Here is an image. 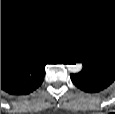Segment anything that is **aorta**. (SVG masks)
I'll use <instances>...</instances> for the list:
<instances>
[{
	"label": "aorta",
	"mask_w": 115,
	"mask_h": 114,
	"mask_svg": "<svg viewBox=\"0 0 115 114\" xmlns=\"http://www.w3.org/2000/svg\"><path fill=\"white\" fill-rule=\"evenodd\" d=\"M67 69L72 73H78L82 69L81 63L68 64Z\"/></svg>",
	"instance_id": "1"
}]
</instances>
